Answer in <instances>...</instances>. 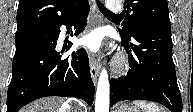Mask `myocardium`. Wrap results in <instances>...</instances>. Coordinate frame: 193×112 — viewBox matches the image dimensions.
I'll return each mask as SVG.
<instances>
[{
    "label": "myocardium",
    "instance_id": "myocardium-1",
    "mask_svg": "<svg viewBox=\"0 0 193 112\" xmlns=\"http://www.w3.org/2000/svg\"><path fill=\"white\" fill-rule=\"evenodd\" d=\"M127 66V59L124 55H119L116 57L114 63H113V70L116 73H122Z\"/></svg>",
    "mask_w": 193,
    "mask_h": 112
}]
</instances>
